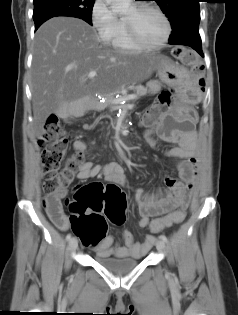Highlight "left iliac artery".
Wrapping results in <instances>:
<instances>
[{"mask_svg":"<svg viewBox=\"0 0 238 315\" xmlns=\"http://www.w3.org/2000/svg\"><path fill=\"white\" fill-rule=\"evenodd\" d=\"M159 238L162 239L164 242H167V241H168V240H167V237H166L164 234L160 235Z\"/></svg>","mask_w":238,"mask_h":315,"instance_id":"left-iliac-artery-1","label":"left iliac artery"}]
</instances>
